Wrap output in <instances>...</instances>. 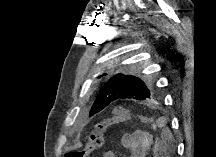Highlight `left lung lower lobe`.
I'll return each instance as SVG.
<instances>
[{"mask_svg":"<svg viewBox=\"0 0 216 157\" xmlns=\"http://www.w3.org/2000/svg\"><path fill=\"white\" fill-rule=\"evenodd\" d=\"M106 106H108L107 103H104V104H102V103L101 104H95L94 103L93 106H92V108L95 109V110L90 114V116L98 113L99 111H101L102 109H104Z\"/></svg>","mask_w":216,"mask_h":157,"instance_id":"0a47b994","label":"left lung lower lobe"}]
</instances>
